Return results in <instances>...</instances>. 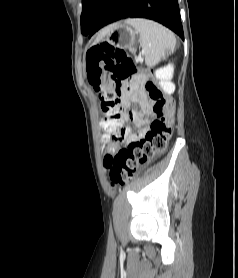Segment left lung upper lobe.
Returning <instances> with one entry per match:
<instances>
[{
	"label": "left lung upper lobe",
	"mask_w": 238,
	"mask_h": 278,
	"mask_svg": "<svg viewBox=\"0 0 238 278\" xmlns=\"http://www.w3.org/2000/svg\"><path fill=\"white\" fill-rule=\"evenodd\" d=\"M107 0H83L82 1V14H81V32L84 35H87L100 10L103 2Z\"/></svg>",
	"instance_id": "obj_1"
}]
</instances>
